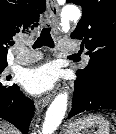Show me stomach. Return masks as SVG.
<instances>
[{
	"instance_id": "0dacf381",
	"label": "stomach",
	"mask_w": 116,
	"mask_h": 134,
	"mask_svg": "<svg viewBox=\"0 0 116 134\" xmlns=\"http://www.w3.org/2000/svg\"><path fill=\"white\" fill-rule=\"evenodd\" d=\"M65 134H110V123L102 116H83L70 123Z\"/></svg>"
}]
</instances>
